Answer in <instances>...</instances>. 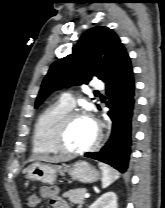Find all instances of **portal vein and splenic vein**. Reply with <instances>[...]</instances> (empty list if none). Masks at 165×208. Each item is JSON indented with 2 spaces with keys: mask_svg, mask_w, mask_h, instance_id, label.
I'll return each instance as SVG.
<instances>
[{
  "mask_svg": "<svg viewBox=\"0 0 165 208\" xmlns=\"http://www.w3.org/2000/svg\"><path fill=\"white\" fill-rule=\"evenodd\" d=\"M84 197L85 198H89L90 197V194L89 193H85Z\"/></svg>",
  "mask_w": 165,
  "mask_h": 208,
  "instance_id": "obj_1",
  "label": "portal vein and splenic vein"
}]
</instances>
